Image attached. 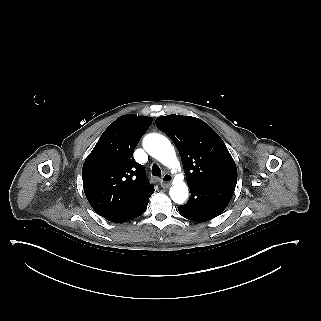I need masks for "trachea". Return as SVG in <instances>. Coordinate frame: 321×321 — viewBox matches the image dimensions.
<instances>
[{
  "label": "trachea",
  "mask_w": 321,
  "mask_h": 321,
  "mask_svg": "<svg viewBox=\"0 0 321 321\" xmlns=\"http://www.w3.org/2000/svg\"><path fill=\"white\" fill-rule=\"evenodd\" d=\"M152 175L156 177H161V169L156 164H153L152 166Z\"/></svg>",
  "instance_id": "3493384b"
}]
</instances>
